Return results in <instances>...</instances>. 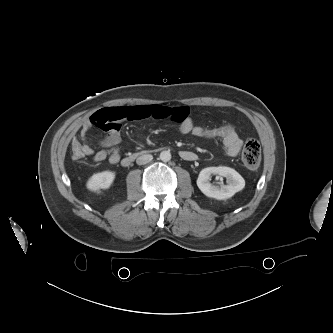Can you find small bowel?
<instances>
[{
	"mask_svg": "<svg viewBox=\"0 0 333 333\" xmlns=\"http://www.w3.org/2000/svg\"><path fill=\"white\" fill-rule=\"evenodd\" d=\"M154 118L157 120H169L179 125L180 130L185 134H192L202 137V126L196 125L190 116L189 109L184 106H165L160 104L131 105L108 107L96 111L83 124L80 131V138L83 141L82 147L86 157L92 158L95 162L108 160L116 164L120 160L118 145L121 142L122 124L127 120H143ZM92 127H98L107 134L101 140V149L95 151L87 143V134ZM224 152L229 157H236L242 148L243 141L234 128L220 138ZM182 158L194 160L195 154L190 151H182Z\"/></svg>",
	"mask_w": 333,
	"mask_h": 333,
	"instance_id": "c3829d8e",
	"label": "small bowel"
}]
</instances>
